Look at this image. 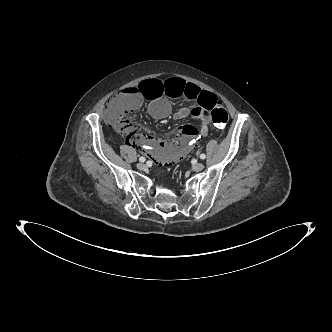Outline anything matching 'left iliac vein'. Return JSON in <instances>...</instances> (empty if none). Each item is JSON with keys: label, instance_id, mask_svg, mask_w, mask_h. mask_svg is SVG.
I'll list each match as a JSON object with an SVG mask.
<instances>
[{"label": "left iliac vein", "instance_id": "4c4485c4", "mask_svg": "<svg viewBox=\"0 0 332 332\" xmlns=\"http://www.w3.org/2000/svg\"><path fill=\"white\" fill-rule=\"evenodd\" d=\"M203 169H204V164L203 163H195L192 166V170L196 171V172L202 171Z\"/></svg>", "mask_w": 332, "mask_h": 332}]
</instances>
